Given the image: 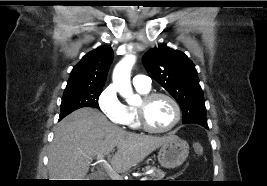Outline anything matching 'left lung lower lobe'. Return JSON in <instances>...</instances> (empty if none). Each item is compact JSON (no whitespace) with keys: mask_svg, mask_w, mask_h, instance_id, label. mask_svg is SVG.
<instances>
[{"mask_svg":"<svg viewBox=\"0 0 267 186\" xmlns=\"http://www.w3.org/2000/svg\"><path fill=\"white\" fill-rule=\"evenodd\" d=\"M204 127L208 129V126H204Z\"/></svg>","mask_w":267,"mask_h":186,"instance_id":"left-lung-lower-lobe-1","label":"left lung lower lobe"}]
</instances>
